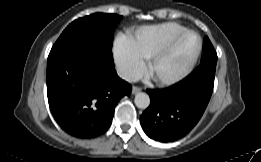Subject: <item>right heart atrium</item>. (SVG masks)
Returning a JSON list of instances; mask_svg holds the SVG:
<instances>
[{
	"instance_id": "right-heart-atrium-1",
	"label": "right heart atrium",
	"mask_w": 261,
	"mask_h": 162,
	"mask_svg": "<svg viewBox=\"0 0 261 162\" xmlns=\"http://www.w3.org/2000/svg\"><path fill=\"white\" fill-rule=\"evenodd\" d=\"M114 58L120 75L126 80L140 76L144 60L131 47L128 37H119L114 48Z\"/></svg>"
}]
</instances>
